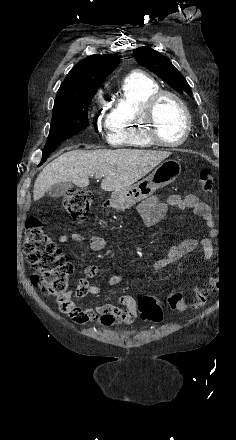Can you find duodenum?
Masks as SVG:
<instances>
[{
  "instance_id": "duodenum-1",
  "label": "duodenum",
  "mask_w": 236,
  "mask_h": 440,
  "mask_svg": "<svg viewBox=\"0 0 236 440\" xmlns=\"http://www.w3.org/2000/svg\"><path fill=\"white\" fill-rule=\"evenodd\" d=\"M111 204V202L110 201H107L105 204H104V206H109Z\"/></svg>"
}]
</instances>
